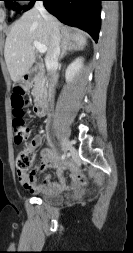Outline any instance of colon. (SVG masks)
<instances>
[{
  "mask_svg": "<svg viewBox=\"0 0 133 253\" xmlns=\"http://www.w3.org/2000/svg\"><path fill=\"white\" fill-rule=\"evenodd\" d=\"M25 105L26 100L23 96V92L18 88L12 96L14 141L16 144H29L19 153L16 159V166L18 170L22 171H26L30 168L34 158V153L31 148L33 141L31 138V129L24 120Z\"/></svg>",
  "mask_w": 133,
  "mask_h": 253,
  "instance_id": "1",
  "label": "colon"
}]
</instances>
